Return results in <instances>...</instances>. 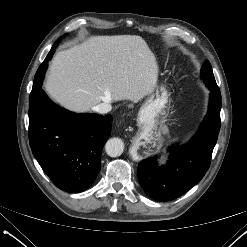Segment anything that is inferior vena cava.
Returning a JSON list of instances; mask_svg holds the SVG:
<instances>
[{
	"label": "inferior vena cava",
	"instance_id": "602c4592",
	"mask_svg": "<svg viewBox=\"0 0 247 247\" xmlns=\"http://www.w3.org/2000/svg\"><path fill=\"white\" fill-rule=\"evenodd\" d=\"M111 109L112 106L108 102H103L93 107V110L100 114H106L110 112Z\"/></svg>",
	"mask_w": 247,
	"mask_h": 247
}]
</instances>
